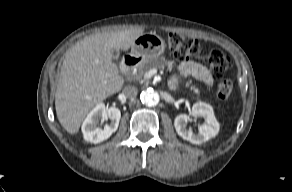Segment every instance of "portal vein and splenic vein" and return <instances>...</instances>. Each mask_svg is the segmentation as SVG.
I'll use <instances>...</instances> for the list:
<instances>
[{
    "instance_id": "1",
    "label": "portal vein and splenic vein",
    "mask_w": 292,
    "mask_h": 192,
    "mask_svg": "<svg viewBox=\"0 0 292 192\" xmlns=\"http://www.w3.org/2000/svg\"><path fill=\"white\" fill-rule=\"evenodd\" d=\"M156 72H157V70H155V69H151V70H149L148 72H146V74H145V78H151L153 75H155L156 74Z\"/></svg>"
}]
</instances>
